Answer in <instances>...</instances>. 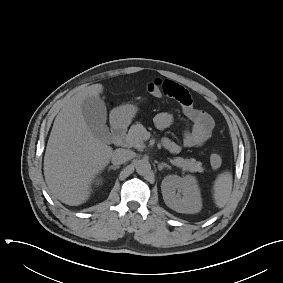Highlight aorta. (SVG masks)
<instances>
[{
    "label": "aorta",
    "instance_id": "1",
    "mask_svg": "<svg viewBox=\"0 0 283 283\" xmlns=\"http://www.w3.org/2000/svg\"><path fill=\"white\" fill-rule=\"evenodd\" d=\"M136 171L140 175L148 173L151 169V165L147 160H138L135 165Z\"/></svg>",
    "mask_w": 283,
    "mask_h": 283
}]
</instances>
